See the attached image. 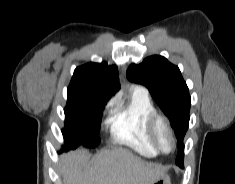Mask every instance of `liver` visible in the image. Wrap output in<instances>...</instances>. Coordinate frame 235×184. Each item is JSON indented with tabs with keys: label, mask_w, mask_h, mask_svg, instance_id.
<instances>
[{
	"label": "liver",
	"mask_w": 235,
	"mask_h": 184,
	"mask_svg": "<svg viewBox=\"0 0 235 184\" xmlns=\"http://www.w3.org/2000/svg\"><path fill=\"white\" fill-rule=\"evenodd\" d=\"M86 150L72 156H62L63 184H153L164 174L161 164L144 162L125 148L102 150L93 168L80 172L84 166Z\"/></svg>",
	"instance_id": "liver-1"
}]
</instances>
